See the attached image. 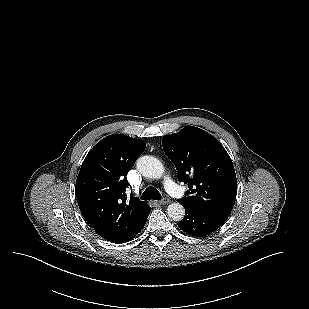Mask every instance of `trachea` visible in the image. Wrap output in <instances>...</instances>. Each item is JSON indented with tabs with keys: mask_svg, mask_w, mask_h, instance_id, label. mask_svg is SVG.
I'll use <instances>...</instances> for the list:
<instances>
[{
	"mask_svg": "<svg viewBox=\"0 0 309 309\" xmlns=\"http://www.w3.org/2000/svg\"><path fill=\"white\" fill-rule=\"evenodd\" d=\"M141 199L143 200H160L161 194L154 187H148L142 194Z\"/></svg>",
	"mask_w": 309,
	"mask_h": 309,
	"instance_id": "trachea-1",
	"label": "trachea"
}]
</instances>
